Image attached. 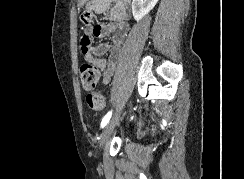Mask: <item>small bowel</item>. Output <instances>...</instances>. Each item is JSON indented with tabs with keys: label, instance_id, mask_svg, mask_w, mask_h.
Returning a JSON list of instances; mask_svg holds the SVG:
<instances>
[{
	"label": "small bowel",
	"instance_id": "small-bowel-1",
	"mask_svg": "<svg viewBox=\"0 0 244 179\" xmlns=\"http://www.w3.org/2000/svg\"><path fill=\"white\" fill-rule=\"evenodd\" d=\"M81 4L87 5L81 14L84 26L80 39L81 52L87 62L101 71L103 84H109L123 56V45L129 33L128 4L125 1L114 0H89ZM106 13H109L108 22L94 24L96 15ZM108 36H112L110 43H93V38ZM106 54H109L108 58H105Z\"/></svg>",
	"mask_w": 244,
	"mask_h": 179
}]
</instances>
